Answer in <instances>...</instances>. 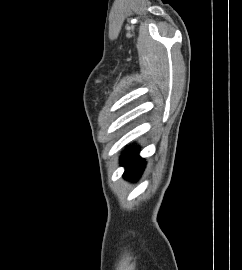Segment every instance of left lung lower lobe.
<instances>
[{"instance_id": "1", "label": "left lung lower lobe", "mask_w": 242, "mask_h": 270, "mask_svg": "<svg viewBox=\"0 0 242 270\" xmlns=\"http://www.w3.org/2000/svg\"><path fill=\"white\" fill-rule=\"evenodd\" d=\"M138 153L137 148H132L121 157V164L126 168L124 178L131 181L137 180L145 167L144 160L138 156Z\"/></svg>"}]
</instances>
